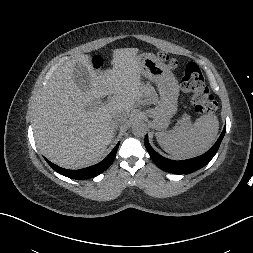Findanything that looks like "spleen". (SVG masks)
Listing matches in <instances>:
<instances>
[{
	"mask_svg": "<svg viewBox=\"0 0 253 253\" xmlns=\"http://www.w3.org/2000/svg\"><path fill=\"white\" fill-rule=\"evenodd\" d=\"M219 130L217 116L205 114L193 124H185L168 132H156L161 148L175 159L193 158L206 152Z\"/></svg>",
	"mask_w": 253,
	"mask_h": 253,
	"instance_id": "obj_1",
	"label": "spleen"
}]
</instances>
